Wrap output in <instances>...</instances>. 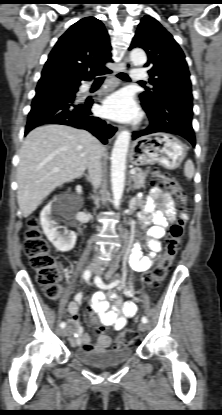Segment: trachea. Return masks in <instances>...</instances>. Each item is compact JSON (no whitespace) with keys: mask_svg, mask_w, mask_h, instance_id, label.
<instances>
[{"mask_svg":"<svg viewBox=\"0 0 222 415\" xmlns=\"http://www.w3.org/2000/svg\"><path fill=\"white\" fill-rule=\"evenodd\" d=\"M117 77L120 78L121 80H125V81H130V78L127 74L125 73H119L117 74ZM104 77H99L96 79V81H103ZM140 84H144L143 82H139Z\"/></svg>","mask_w":222,"mask_h":415,"instance_id":"1","label":"trachea"}]
</instances>
